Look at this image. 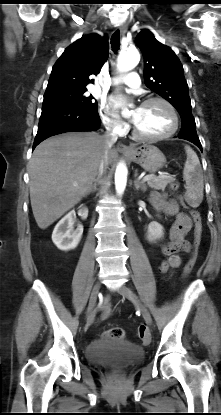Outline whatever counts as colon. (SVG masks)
Masks as SVG:
<instances>
[{
	"label": "colon",
	"instance_id": "1",
	"mask_svg": "<svg viewBox=\"0 0 221 415\" xmlns=\"http://www.w3.org/2000/svg\"><path fill=\"white\" fill-rule=\"evenodd\" d=\"M169 187L172 189L173 192H175V196L177 197L179 202L182 203L181 207L185 208L186 207V204L184 203L185 196L183 193L179 191L180 179L178 177H173L171 181L169 182ZM190 214L194 221V240H193V247L191 250V256L185 266V270H184L185 276H188L193 269V266L195 264L196 257H197V249L200 244L201 234H202V219H201L199 212L192 209L190 210ZM137 332H138L139 338L142 341H148L150 339L149 330L145 325L143 324L139 325ZM107 336L110 339L122 340L125 336V332L122 328L114 327L107 332Z\"/></svg>",
	"mask_w": 221,
	"mask_h": 415
}]
</instances>
